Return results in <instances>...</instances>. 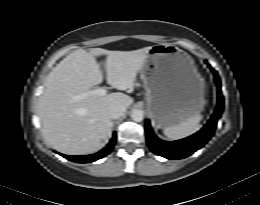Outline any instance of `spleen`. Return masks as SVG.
I'll list each match as a JSON object with an SVG mask.
<instances>
[{
	"mask_svg": "<svg viewBox=\"0 0 260 205\" xmlns=\"http://www.w3.org/2000/svg\"><path fill=\"white\" fill-rule=\"evenodd\" d=\"M202 119V115H195L178 125L165 128L164 134L172 140L188 137L199 130V123Z\"/></svg>",
	"mask_w": 260,
	"mask_h": 205,
	"instance_id": "1",
	"label": "spleen"
}]
</instances>
